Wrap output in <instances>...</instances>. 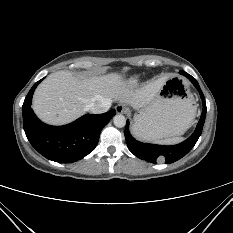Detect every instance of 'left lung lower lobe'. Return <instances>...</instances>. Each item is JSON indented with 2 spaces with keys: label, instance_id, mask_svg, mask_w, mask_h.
I'll list each match as a JSON object with an SVG mask.
<instances>
[{
  "label": "left lung lower lobe",
  "instance_id": "0a47b994",
  "mask_svg": "<svg viewBox=\"0 0 233 233\" xmlns=\"http://www.w3.org/2000/svg\"><path fill=\"white\" fill-rule=\"evenodd\" d=\"M180 74L186 76L193 85L197 88L200 93L202 103H203V110L201 118L197 124L196 130L194 133L184 142L172 145V146H163V145H155V144H148L142 143L135 140L130 132H129V121L127 120V124L125 127V139L128 146V149L138 158L143 159L145 161L151 163H157L158 161H165L166 163H173L183 156H185L196 144L198 138L200 137L205 121L206 116V102L204 95L200 89L198 82L188 73L184 71H180Z\"/></svg>",
  "mask_w": 233,
  "mask_h": 233
}]
</instances>
